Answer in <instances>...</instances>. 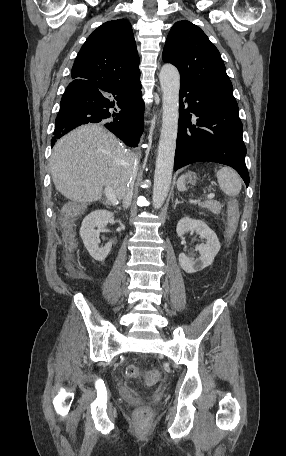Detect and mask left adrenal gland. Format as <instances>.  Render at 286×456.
<instances>
[{
    "label": "left adrenal gland",
    "mask_w": 286,
    "mask_h": 456,
    "mask_svg": "<svg viewBox=\"0 0 286 456\" xmlns=\"http://www.w3.org/2000/svg\"><path fill=\"white\" fill-rule=\"evenodd\" d=\"M179 203H183V201H182V202H180V201H178V199L176 198V200H175V204H174L173 208L175 209V208H176V206H177V204H179Z\"/></svg>",
    "instance_id": "1"
}]
</instances>
